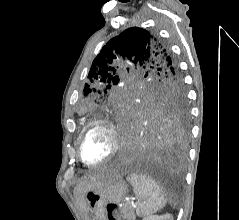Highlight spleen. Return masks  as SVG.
<instances>
[{
	"label": "spleen",
	"instance_id": "1",
	"mask_svg": "<svg viewBox=\"0 0 239 220\" xmlns=\"http://www.w3.org/2000/svg\"><path fill=\"white\" fill-rule=\"evenodd\" d=\"M138 199L136 214L139 217L149 216L163 209L167 203L164 192L154 180L142 174H131L128 177Z\"/></svg>",
	"mask_w": 239,
	"mask_h": 220
}]
</instances>
